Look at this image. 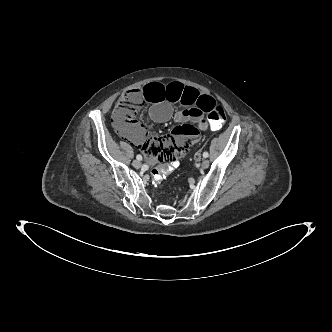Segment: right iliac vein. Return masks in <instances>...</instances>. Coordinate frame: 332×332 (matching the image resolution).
Listing matches in <instances>:
<instances>
[{
	"label": "right iliac vein",
	"instance_id": "right-iliac-vein-1",
	"mask_svg": "<svg viewBox=\"0 0 332 332\" xmlns=\"http://www.w3.org/2000/svg\"><path fill=\"white\" fill-rule=\"evenodd\" d=\"M132 164L137 169L141 167V162L139 160H134Z\"/></svg>",
	"mask_w": 332,
	"mask_h": 332
}]
</instances>
